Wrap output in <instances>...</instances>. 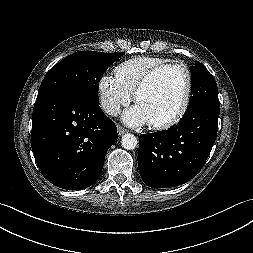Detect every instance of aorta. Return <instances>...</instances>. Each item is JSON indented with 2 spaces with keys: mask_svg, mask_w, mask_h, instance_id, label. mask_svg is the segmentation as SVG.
<instances>
[{
  "mask_svg": "<svg viewBox=\"0 0 253 253\" xmlns=\"http://www.w3.org/2000/svg\"><path fill=\"white\" fill-rule=\"evenodd\" d=\"M121 144L124 149L133 150L137 147L138 140L133 134H125L121 139Z\"/></svg>",
  "mask_w": 253,
  "mask_h": 253,
  "instance_id": "obj_1",
  "label": "aorta"
}]
</instances>
